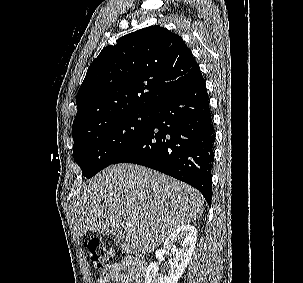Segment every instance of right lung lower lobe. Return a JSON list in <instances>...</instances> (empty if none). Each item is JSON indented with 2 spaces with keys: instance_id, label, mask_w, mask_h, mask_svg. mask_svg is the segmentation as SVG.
<instances>
[{
  "instance_id": "98d812e1",
  "label": "right lung lower lobe",
  "mask_w": 303,
  "mask_h": 283,
  "mask_svg": "<svg viewBox=\"0 0 303 283\" xmlns=\"http://www.w3.org/2000/svg\"><path fill=\"white\" fill-rule=\"evenodd\" d=\"M215 131L202 77L151 110L144 134L116 163L143 165L198 189L211 204Z\"/></svg>"
}]
</instances>
